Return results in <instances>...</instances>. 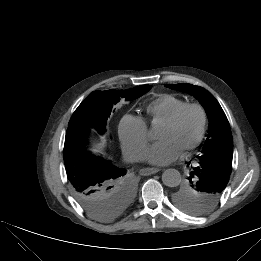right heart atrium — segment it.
I'll list each match as a JSON object with an SVG mask.
<instances>
[{"label": "right heart atrium", "mask_w": 261, "mask_h": 261, "mask_svg": "<svg viewBox=\"0 0 261 261\" xmlns=\"http://www.w3.org/2000/svg\"><path fill=\"white\" fill-rule=\"evenodd\" d=\"M118 135L128 158L140 159L149 142L147 124L144 119L133 115L123 116L118 125Z\"/></svg>", "instance_id": "1"}]
</instances>
